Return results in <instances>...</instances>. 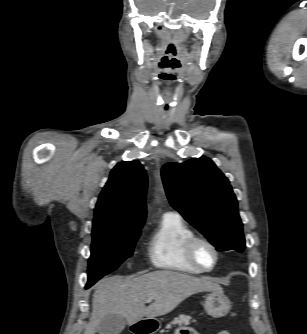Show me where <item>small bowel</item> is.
Segmentation results:
<instances>
[{
    "label": "small bowel",
    "instance_id": "c3829d8e",
    "mask_svg": "<svg viewBox=\"0 0 307 334\" xmlns=\"http://www.w3.org/2000/svg\"><path fill=\"white\" fill-rule=\"evenodd\" d=\"M178 334H195L193 332H189V331H186V330H180L178 332ZM217 334H230L228 331L226 330H221L220 332H218Z\"/></svg>",
    "mask_w": 307,
    "mask_h": 334
}]
</instances>
